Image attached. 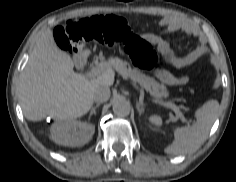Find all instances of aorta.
I'll return each mask as SVG.
<instances>
[{
	"mask_svg": "<svg viewBox=\"0 0 236 182\" xmlns=\"http://www.w3.org/2000/svg\"><path fill=\"white\" fill-rule=\"evenodd\" d=\"M130 110V103L123 98L116 99L113 103V111L117 116H128L130 114Z\"/></svg>",
	"mask_w": 236,
	"mask_h": 182,
	"instance_id": "obj_1",
	"label": "aorta"
}]
</instances>
